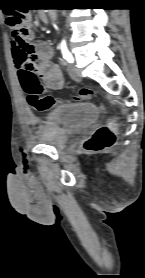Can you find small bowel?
Segmentation results:
<instances>
[{
  "label": "small bowel",
  "instance_id": "c3829d8e",
  "mask_svg": "<svg viewBox=\"0 0 145 278\" xmlns=\"http://www.w3.org/2000/svg\"><path fill=\"white\" fill-rule=\"evenodd\" d=\"M19 40L14 38L11 42V52L18 77L21 79L25 74L38 70L45 86L51 90H58L63 85V75L60 67L51 61V50L46 44H40L36 53L24 52L20 48ZM22 84V83H21ZM30 121L36 123V117L31 116Z\"/></svg>",
  "mask_w": 145,
  "mask_h": 278
}]
</instances>
